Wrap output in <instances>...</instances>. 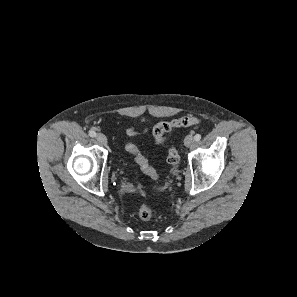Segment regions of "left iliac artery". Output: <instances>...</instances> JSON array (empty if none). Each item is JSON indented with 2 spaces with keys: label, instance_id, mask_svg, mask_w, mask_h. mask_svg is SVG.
Segmentation results:
<instances>
[{
  "label": "left iliac artery",
  "instance_id": "1",
  "mask_svg": "<svg viewBox=\"0 0 297 297\" xmlns=\"http://www.w3.org/2000/svg\"><path fill=\"white\" fill-rule=\"evenodd\" d=\"M194 139H195V141H200V139H201V135H200V134H196V135L194 136Z\"/></svg>",
  "mask_w": 297,
  "mask_h": 297
}]
</instances>
